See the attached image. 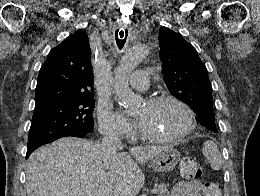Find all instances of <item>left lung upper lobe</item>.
Segmentation results:
<instances>
[{
    "label": "left lung upper lobe",
    "mask_w": 260,
    "mask_h": 196,
    "mask_svg": "<svg viewBox=\"0 0 260 196\" xmlns=\"http://www.w3.org/2000/svg\"><path fill=\"white\" fill-rule=\"evenodd\" d=\"M159 43L162 73L170 93L195 112H213L208 72L192 45L167 27L159 29ZM205 127L218 133L215 122Z\"/></svg>",
    "instance_id": "obj_1"
}]
</instances>
